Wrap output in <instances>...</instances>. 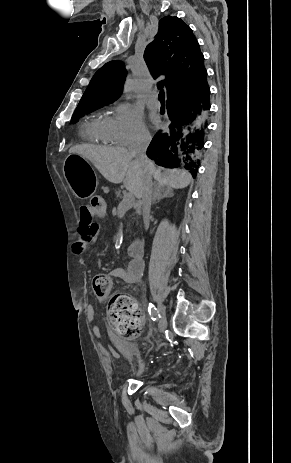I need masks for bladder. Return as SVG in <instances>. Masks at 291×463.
Here are the masks:
<instances>
[{
	"instance_id": "31cf9c89",
	"label": "bladder",
	"mask_w": 291,
	"mask_h": 463,
	"mask_svg": "<svg viewBox=\"0 0 291 463\" xmlns=\"http://www.w3.org/2000/svg\"><path fill=\"white\" fill-rule=\"evenodd\" d=\"M116 348L120 356L126 360H132L136 356V346L131 339H116Z\"/></svg>"
}]
</instances>
